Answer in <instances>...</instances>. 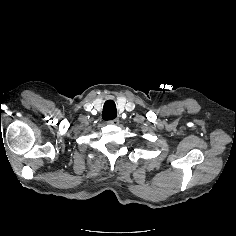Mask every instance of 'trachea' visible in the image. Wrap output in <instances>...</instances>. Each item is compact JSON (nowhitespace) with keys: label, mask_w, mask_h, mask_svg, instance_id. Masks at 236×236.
<instances>
[{"label":"trachea","mask_w":236,"mask_h":236,"mask_svg":"<svg viewBox=\"0 0 236 236\" xmlns=\"http://www.w3.org/2000/svg\"><path fill=\"white\" fill-rule=\"evenodd\" d=\"M117 117L116 105L113 100H107L104 103L102 118L104 120H113Z\"/></svg>","instance_id":"trachea-1"}]
</instances>
